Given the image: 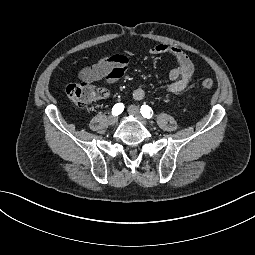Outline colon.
Listing matches in <instances>:
<instances>
[{
  "mask_svg": "<svg viewBox=\"0 0 255 255\" xmlns=\"http://www.w3.org/2000/svg\"><path fill=\"white\" fill-rule=\"evenodd\" d=\"M213 85V80L210 78H206L200 83V87L203 90H210ZM66 93L73 104L80 108L89 107L100 95V92L95 87L87 83L71 84L67 87Z\"/></svg>",
  "mask_w": 255,
  "mask_h": 255,
  "instance_id": "obj_1",
  "label": "colon"
}]
</instances>
